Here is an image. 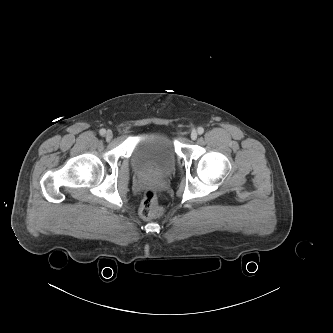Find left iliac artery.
Returning a JSON list of instances; mask_svg holds the SVG:
<instances>
[{"label":"left iliac artery","instance_id":"1","mask_svg":"<svg viewBox=\"0 0 333 333\" xmlns=\"http://www.w3.org/2000/svg\"><path fill=\"white\" fill-rule=\"evenodd\" d=\"M197 132H198V134H203L204 133V129H203V127H199L198 129H197Z\"/></svg>","mask_w":333,"mask_h":333}]
</instances>
